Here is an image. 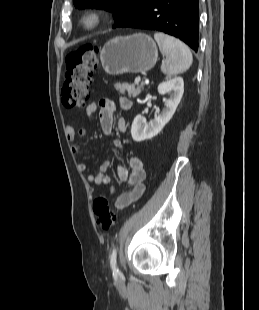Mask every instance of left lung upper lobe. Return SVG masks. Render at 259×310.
<instances>
[{"label": "left lung upper lobe", "instance_id": "5c2ea615", "mask_svg": "<svg viewBox=\"0 0 259 310\" xmlns=\"http://www.w3.org/2000/svg\"><path fill=\"white\" fill-rule=\"evenodd\" d=\"M152 0H73L76 8H100L113 12L115 24L120 23L148 5Z\"/></svg>", "mask_w": 259, "mask_h": 310}]
</instances>
